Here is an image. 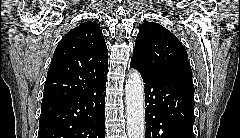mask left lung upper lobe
Returning <instances> with one entry per match:
<instances>
[{
    "instance_id": "obj_1",
    "label": "left lung upper lobe",
    "mask_w": 240,
    "mask_h": 138,
    "mask_svg": "<svg viewBox=\"0 0 240 138\" xmlns=\"http://www.w3.org/2000/svg\"><path fill=\"white\" fill-rule=\"evenodd\" d=\"M131 63L152 74L181 72L192 75L188 55L181 42L155 22L139 26Z\"/></svg>"
}]
</instances>
